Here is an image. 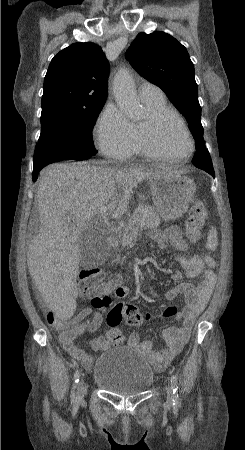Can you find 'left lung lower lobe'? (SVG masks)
Returning a JSON list of instances; mask_svg holds the SVG:
<instances>
[{
  "mask_svg": "<svg viewBox=\"0 0 245 450\" xmlns=\"http://www.w3.org/2000/svg\"><path fill=\"white\" fill-rule=\"evenodd\" d=\"M196 153L199 154L197 157H199L201 159H205L206 158V154L208 153V151H207L205 146L196 145ZM203 169L206 170L213 177L215 176L214 169H213L212 166H210L209 168H203Z\"/></svg>",
  "mask_w": 245,
  "mask_h": 450,
  "instance_id": "0a47b994",
  "label": "left lung lower lobe"
}]
</instances>
